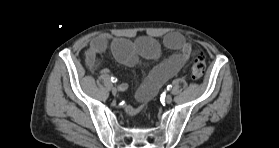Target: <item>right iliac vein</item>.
I'll return each instance as SVG.
<instances>
[{
    "instance_id": "right-iliac-vein-1",
    "label": "right iliac vein",
    "mask_w": 279,
    "mask_h": 148,
    "mask_svg": "<svg viewBox=\"0 0 279 148\" xmlns=\"http://www.w3.org/2000/svg\"><path fill=\"white\" fill-rule=\"evenodd\" d=\"M122 87H123V85L120 86V88H122ZM111 92L113 95H117L118 89L116 87H112Z\"/></svg>"
}]
</instances>
